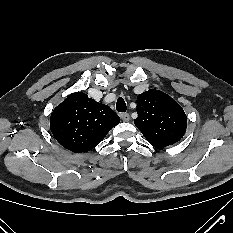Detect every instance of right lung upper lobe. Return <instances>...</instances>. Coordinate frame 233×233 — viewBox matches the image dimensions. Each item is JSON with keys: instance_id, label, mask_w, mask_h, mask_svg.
Listing matches in <instances>:
<instances>
[{"instance_id": "right-lung-upper-lobe-1", "label": "right lung upper lobe", "mask_w": 233, "mask_h": 233, "mask_svg": "<svg viewBox=\"0 0 233 233\" xmlns=\"http://www.w3.org/2000/svg\"><path fill=\"white\" fill-rule=\"evenodd\" d=\"M119 122L109 106L76 92L53 110L50 129L64 148L79 153L92 150Z\"/></svg>"}]
</instances>
